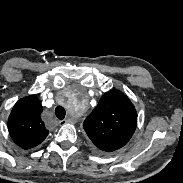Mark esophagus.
<instances>
[{
  "instance_id": "esophagus-1",
  "label": "esophagus",
  "mask_w": 183,
  "mask_h": 183,
  "mask_svg": "<svg viewBox=\"0 0 183 183\" xmlns=\"http://www.w3.org/2000/svg\"><path fill=\"white\" fill-rule=\"evenodd\" d=\"M60 123H61L62 125H66V124L70 123V120L65 119V120L61 121Z\"/></svg>"
}]
</instances>
